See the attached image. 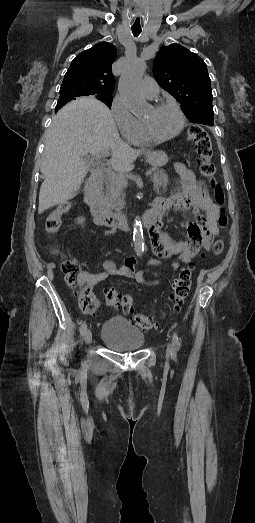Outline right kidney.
Returning <instances> with one entry per match:
<instances>
[{"label": "right kidney", "mask_w": 255, "mask_h": 523, "mask_svg": "<svg viewBox=\"0 0 255 523\" xmlns=\"http://www.w3.org/2000/svg\"><path fill=\"white\" fill-rule=\"evenodd\" d=\"M85 222V218H77V224H83Z\"/></svg>", "instance_id": "right-kidney-1"}]
</instances>
